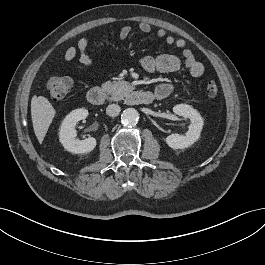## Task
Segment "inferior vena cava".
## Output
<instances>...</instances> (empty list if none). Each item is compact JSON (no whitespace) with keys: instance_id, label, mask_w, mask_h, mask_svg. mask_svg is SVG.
Segmentation results:
<instances>
[{"instance_id":"obj_1","label":"inferior vena cava","mask_w":265,"mask_h":265,"mask_svg":"<svg viewBox=\"0 0 265 265\" xmlns=\"http://www.w3.org/2000/svg\"><path fill=\"white\" fill-rule=\"evenodd\" d=\"M120 111H121V108L117 104H110L106 108L107 115H109L111 117H115V116L119 115Z\"/></svg>"}]
</instances>
